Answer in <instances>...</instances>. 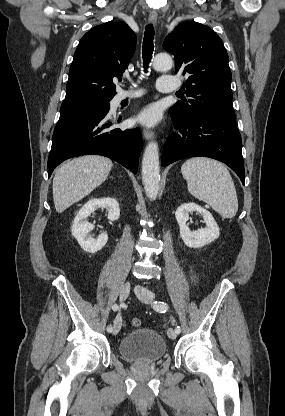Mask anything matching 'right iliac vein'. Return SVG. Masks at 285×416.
I'll return each instance as SVG.
<instances>
[{
	"label": "right iliac vein",
	"mask_w": 285,
	"mask_h": 416,
	"mask_svg": "<svg viewBox=\"0 0 285 416\" xmlns=\"http://www.w3.org/2000/svg\"><path fill=\"white\" fill-rule=\"evenodd\" d=\"M130 293V282H126L122 285L120 290V300L125 301ZM122 325L121 317H117L114 321V325L112 328V333L114 335L118 334Z\"/></svg>",
	"instance_id": "63e3f726"
}]
</instances>
